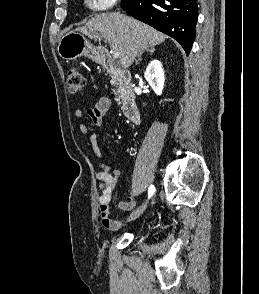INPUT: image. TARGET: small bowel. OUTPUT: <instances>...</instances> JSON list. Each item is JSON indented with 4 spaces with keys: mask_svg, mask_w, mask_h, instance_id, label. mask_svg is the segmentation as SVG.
I'll list each match as a JSON object with an SVG mask.
<instances>
[{
    "mask_svg": "<svg viewBox=\"0 0 259 294\" xmlns=\"http://www.w3.org/2000/svg\"><path fill=\"white\" fill-rule=\"evenodd\" d=\"M110 107V101L106 97L98 99L92 107L88 109V114L94 126L97 128L103 127L104 116ZM74 116L78 119L82 118L83 111L76 109ZM79 129L83 134H88V128L84 124L79 125ZM90 143L95 155L101 159L99 163L100 171L97 173V179L100 181L99 187V210L102 225L109 230H118L123 222L114 220L110 217L109 205L113 197V193L121 176V171L112 168L109 163L103 160V155L98 145L97 135L95 133L90 135ZM135 201L128 199L121 201L118 207L123 211H128L135 206Z\"/></svg>",
    "mask_w": 259,
    "mask_h": 294,
    "instance_id": "small-bowel-1",
    "label": "small bowel"
}]
</instances>
